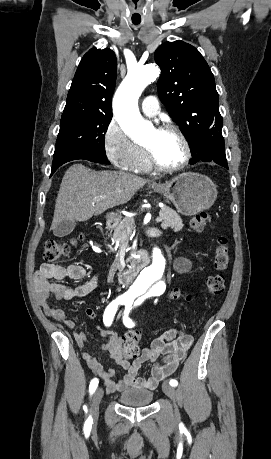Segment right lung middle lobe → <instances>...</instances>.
Returning a JSON list of instances; mask_svg holds the SVG:
<instances>
[{
    "instance_id": "1",
    "label": "right lung middle lobe",
    "mask_w": 271,
    "mask_h": 459,
    "mask_svg": "<svg viewBox=\"0 0 271 459\" xmlns=\"http://www.w3.org/2000/svg\"><path fill=\"white\" fill-rule=\"evenodd\" d=\"M111 119L104 114H62L54 158L73 150L105 154L104 134Z\"/></svg>"
}]
</instances>
